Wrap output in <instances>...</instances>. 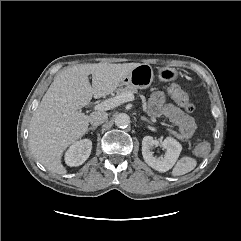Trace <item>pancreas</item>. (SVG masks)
I'll return each instance as SVG.
<instances>
[{"instance_id":"pancreas-1","label":"pancreas","mask_w":241,"mask_h":241,"mask_svg":"<svg viewBox=\"0 0 241 241\" xmlns=\"http://www.w3.org/2000/svg\"><path fill=\"white\" fill-rule=\"evenodd\" d=\"M125 92H131V93H137V88L133 85H127L126 87H122V88H119L117 91H116V94L119 95L121 93H125ZM168 131L174 136L176 137L177 139L181 140V141H184V138L181 134L177 133L176 131L174 130H171V129H168Z\"/></svg>"}]
</instances>
